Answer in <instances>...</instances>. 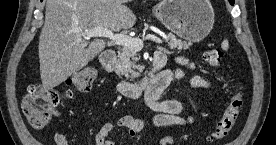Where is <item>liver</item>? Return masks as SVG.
<instances>
[{
	"mask_svg": "<svg viewBox=\"0 0 276 145\" xmlns=\"http://www.w3.org/2000/svg\"><path fill=\"white\" fill-rule=\"evenodd\" d=\"M128 0H47L39 37L42 86L53 89L85 67L104 48L105 41L88 42L79 33L102 27L113 32L133 27L136 17Z\"/></svg>",
	"mask_w": 276,
	"mask_h": 145,
	"instance_id": "1",
	"label": "liver"
}]
</instances>
